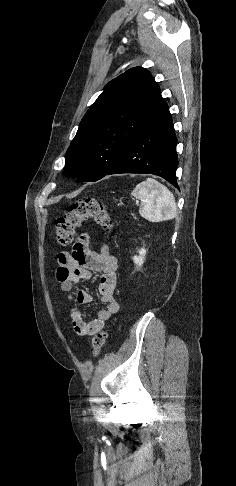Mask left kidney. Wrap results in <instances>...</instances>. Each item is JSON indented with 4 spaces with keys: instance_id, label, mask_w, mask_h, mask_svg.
I'll use <instances>...</instances> for the list:
<instances>
[{
    "instance_id": "obj_1",
    "label": "left kidney",
    "mask_w": 236,
    "mask_h": 486,
    "mask_svg": "<svg viewBox=\"0 0 236 486\" xmlns=\"http://www.w3.org/2000/svg\"><path fill=\"white\" fill-rule=\"evenodd\" d=\"M146 253H147V251L144 248H141V249L138 250L139 255H135L133 257V261H134L136 267H141L143 265Z\"/></svg>"
}]
</instances>
